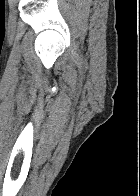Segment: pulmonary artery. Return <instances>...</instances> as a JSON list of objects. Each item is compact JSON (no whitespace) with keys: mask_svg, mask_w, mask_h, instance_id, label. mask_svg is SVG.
Instances as JSON below:
<instances>
[{"mask_svg":"<svg viewBox=\"0 0 140 196\" xmlns=\"http://www.w3.org/2000/svg\"><path fill=\"white\" fill-rule=\"evenodd\" d=\"M28 192H46V191H28Z\"/></svg>","mask_w":140,"mask_h":196,"instance_id":"pulmonary-artery-1","label":"pulmonary artery"}]
</instances>
